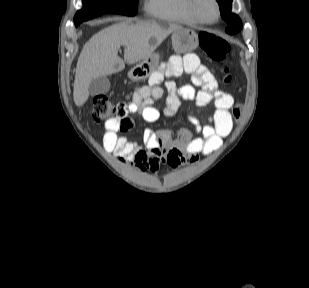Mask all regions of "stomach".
Wrapping results in <instances>:
<instances>
[{
  "instance_id": "0dacf381",
  "label": "stomach",
  "mask_w": 309,
  "mask_h": 288,
  "mask_svg": "<svg viewBox=\"0 0 309 288\" xmlns=\"http://www.w3.org/2000/svg\"><path fill=\"white\" fill-rule=\"evenodd\" d=\"M172 46L176 53H187L198 47V34L189 28H179L175 30L171 36ZM160 55L153 53L149 57L143 59L136 64L128 72V77L133 81L147 79L158 67Z\"/></svg>"
}]
</instances>
